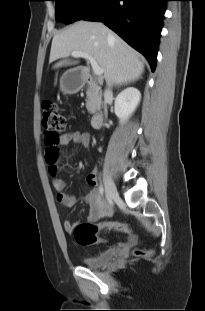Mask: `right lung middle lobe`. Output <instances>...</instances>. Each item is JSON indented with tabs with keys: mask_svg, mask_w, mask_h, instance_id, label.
Masks as SVG:
<instances>
[{
	"mask_svg": "<svg viewBox=\"0 0 205 311\" xmlns=\"http://www.w3.org/2000/svg\"><path fill=\"white\" fill-rule=\"evenodd\" d=\"M56 3L55 17L66 24L83 19L98 8L103 0H53Z\"/></svg>",
	"mask_w": 205,
	"mask_h": 311,
	"instance_id": "dd1d6c3e",
	"label": "right lung middle lobe"
}]
</instances>
